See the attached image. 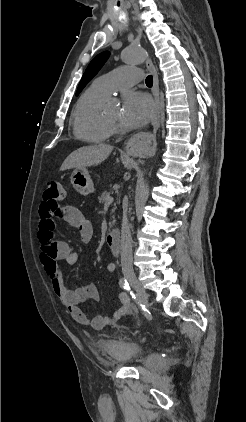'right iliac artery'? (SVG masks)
<instances>
[{"label": "right iliac artery", "mask_w": 246, "mask_h": 422, "mask_svg": "<svg viewBox=\"0 0 246 422\" xmlns=\"http://www.w3.org/2000/svg\"><path fill=\"white\" fill-rule=\"evenodd\" d=\"M119 285H120L121 288L130 291L129 283L127 282V280L125 278H121L119 280ZM130 294L132 295V298H135V295L132 293V291L130 292ZM142 307L144 308V306H142Z\"/></svg>", "instance_id": "1"}]
</instances>
